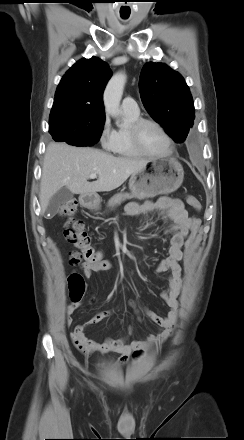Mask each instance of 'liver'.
<instances>
[{
	"mask_svg": "<svg viewBox=\"0 0 244 440\" xmlns=\"http://www.w3.org/2000/svg\"><path fill=\"white\" fill-rule=\"evenodd\" d=\"M148 161L115 157L90 147L50 143L45 152L40 183L42 212L46 211L50 199L62 187L80 195L112 191L130 175L142 170ZM91 174L98 175V179L88 182Z\"/></svg>",
	"mask_w": 244,
	"mask_h": 440,
	"instance_id": "1",
	"label": "liver"
}]
</instances>
